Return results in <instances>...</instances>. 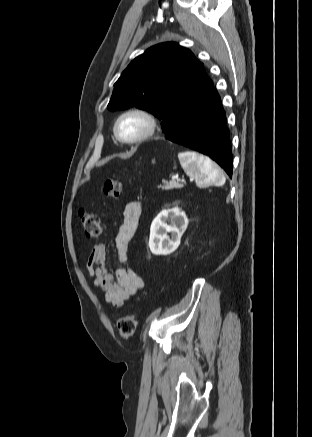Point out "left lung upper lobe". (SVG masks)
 Listing matches in <instances>:
<instances>
[{
	"instance_id": "1",
	"label": "left lung upper lobe",
	"mask_w": 312,
	"mask_h": 437,
	"mask_svg": "<svg viewBox=\"0 0 312 437\" xmlns=\"http://www.w3.org/2000/svg\"><path fill=\"white\" fill-rule=\"evenodd\" d=\"M114 86L109 110H147L162 120L168 137L209 95L213 82L190 50L168 42L136 57Z\"/></svg>"
}]
</instances>
